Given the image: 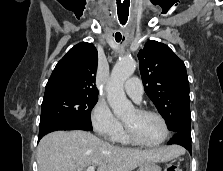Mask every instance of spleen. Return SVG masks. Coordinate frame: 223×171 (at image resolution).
<instances>
[{"mask_svg": "<svg viewBox=\"0 0 223 171\" xmlns=\"http://www.w3.org/2000/svg\"><path fill=\"white\" fill-rule=\"evenodd\" d=\"M182 151H183L182 149L179 150L180 153H181Z\"/></svg>", "mask_w": 223, "mask_h": 171, "instance_id": "1", "label": "spleen"}]
</instances>
